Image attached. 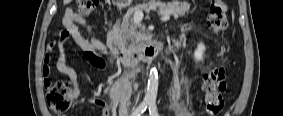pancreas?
Returning <instances> with one entry per match:
<instances>
[{
    "instance_id": "obj_1",
    "label": "pancreas",
    "mask_w": 283,
    "mask_h": 116,
    "mask_svg": "<svg viewBox=\"0 0 283 116\" xmlns=\"http://www.w3.org/2000/svg\"><path fill=\"white\" fill-rule=\"evenodd\" d=\"M150 6L157 7L161 14L170 13L174 18H179L189 11L190 5L186 2L174 1L172 3H164L161 1L151 0L148 3L131 7L122 23L115 25L112 30V37L117 41L119 46L127 47L128 42L131 49H137L140 46L141 38L134 25V12L139 9L141 11L148 10Z\"/></svg>"
}]
</instances>
